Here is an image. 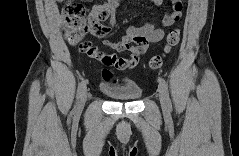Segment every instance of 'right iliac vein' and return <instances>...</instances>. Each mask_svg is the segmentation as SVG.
I'll use <instances>...</instances> for the list:
<instances>
[{"label": "right iliac vein", "mask_w": 239, "mask_h": 156, "mask_svg": "<svg viewBox=\"0 0 239 156\" xmlns=\"http://www.w3.org/2000/svg\"><path fill=\"white\" fill-rule=\"evenodd\" d=\"M87 95H88L87 90L84 89V91H83V93L81 95L79 104H78L77 113H80L83 110L84 105H85L86 100H87Z\"/></svg>", "instance_id": "63e3f726"}]
</instances>
